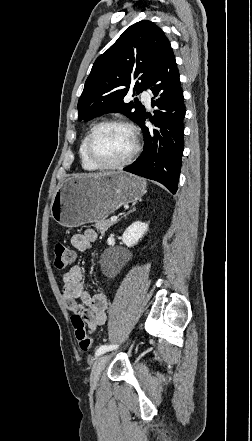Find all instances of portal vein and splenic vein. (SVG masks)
<instances>
[{
  "mask_svg": "<svg viewBox=\"0 0 252 441\" xmlns=\"http://www.w3.org/2000/svg\"><path fill=\"white\" fill-rule=\"evenodd\" d=\"M112 222H115L117 220V216H112L110 219Z\"/></svg>",
  "mask_w": 252,
  "mask_h": 441,
  "instance_id": "obj_1",
  "label": "portal vein and splenic vein"
}]
</instances>
